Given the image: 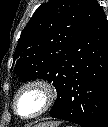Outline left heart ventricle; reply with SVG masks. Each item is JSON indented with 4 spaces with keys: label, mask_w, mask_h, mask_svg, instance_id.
Returning <instances> with one entry per match:
<instances>
[{
    "label": "left heart ventricle",
    "mask_w": 108,
    "mask_h": 127,
    "mask_svg": "<svg viewBox=\"0 0 108 127\" xmlns=\"http://www.w3.org/2000/svg\"><path fill=\"white\" fill-rule=\"evenodd\" d=\"M42 103V95L36 90L25 92L18 101V110L22 114H30L36 111Z\"/></svg>",
    "instance_id": "1"
}]
</instances>
